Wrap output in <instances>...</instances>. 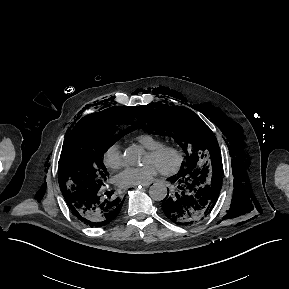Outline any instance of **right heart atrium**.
Segmentation results:
<instances>
[{
    "mask_svg": "<svg viewBox=\"0 0 289 289\" xmlns=\"http://www.w3.org/2000/svg\"><path fill=\"white\" fill-rule=\"evenodd\" d=\"M103 163L110 169H118L124 164L123 155L119 143L110 144L102 155Z\"/></svg>",
    "mask_w": 289,
    "mask_h": 289,
    "instance_id": "1",
    "label": "right heart atrium"
}]
</instances>
